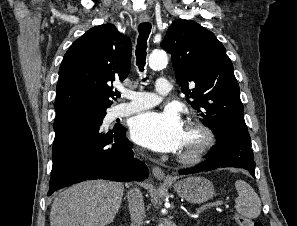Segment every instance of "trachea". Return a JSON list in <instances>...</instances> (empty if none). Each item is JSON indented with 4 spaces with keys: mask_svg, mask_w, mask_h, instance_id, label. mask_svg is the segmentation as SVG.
<instances>
[{
    "mask_svg": "<svg viewBox=\"0 0 297 226\" xmlns=\"http://www.w3.org/2000/svg\"><path fill=\"white\" fill-rule=\"evenodd\" d=\"M138 32L139 36L137 39V45H136V51L135 55L137 58L136 64L140 71L143 72L145 61H146V49H147V40L149 37V34L151 32V24L148 22H143L138 26ZM117 98H120V93H115Z\"/></svg>",
    "mask_w": 297,
    "mask_h": 226,
    "instance_id": "trachea-1",
    "label": "trachea"
}]
</instances>
